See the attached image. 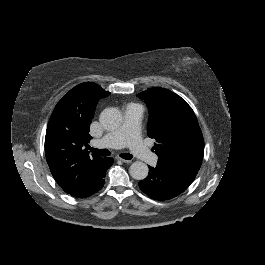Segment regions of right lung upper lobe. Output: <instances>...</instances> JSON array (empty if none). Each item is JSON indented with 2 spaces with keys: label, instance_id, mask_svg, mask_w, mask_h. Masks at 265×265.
<instances>
[{
  "label": "right lung upper lobe",
  "instance_id": "right-lung-upper-lobe-1",
  "mask_svg": "<svg viewBox=\"0 0 265 265\" xmlns=\"http://www.w3.org/2000/svg\"><path fill=\"white\" fill-rule=\"evenodd\" d=\"M86 82L71 89L56 105L46 131L45 155L59 186L69 194L94 187L106 172V158L89 155L90 123L99 99L108 96Z\"/></svg>",
  "mask_w": 265,
  "mask_h": 265
}]
</instances>
